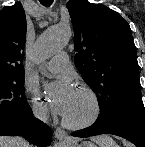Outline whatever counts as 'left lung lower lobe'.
<instances>
[{"mask_svg":"<svg viewBox=\"0 0 145 147\" xmlns=\"http://www.w3.org/2000/svg\"><path fill=\"white\" fill-rule=\"evenodd\" d=\"M113 134L123 137L137 147H145V109L139 108L113 119L104 126H92L72 133L76 137Z\"/></svg>","mask_w":145,"mask_h":147,"instance_id":"left-lung-lower-lobe-1","label":"left lung lower lobe"}]
</instances>
